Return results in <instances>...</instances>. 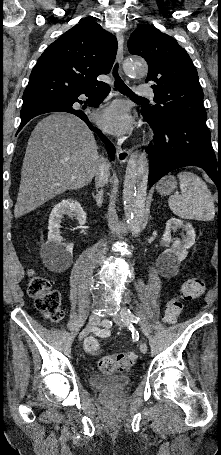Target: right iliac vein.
Segmentation results:
<instances>
[{
  "label": "right iliac vein",
  "mask_w": 221,
  "mask_h": 455,
  "mask_svg": "<svg viewBox=\"0 0 221 455\" xmlns=\"http://www.w3.org/2000/svg\"><path fill=\"white\" fill-rule=\"evenodd\" d=\"M99 317L96 314H92L89 317L87 326L81 331L79 335V340L85 338L92 330H94L99 324Z\"/></svg>",
  "instance_id": "1"
}]
</instances>
